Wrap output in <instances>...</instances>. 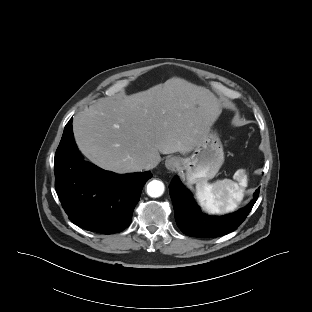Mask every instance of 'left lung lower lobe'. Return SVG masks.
<instances>
[{
    "label": "left lung lower lobe",
    "mask_w": 312,
    "mask_h": 312,
    "mask_svg": "<svg viewBox=\"0 0 312 312\" xmlns=\"http://www.w3.org/2000/svg\"><path fill=\"white\" fill-rule=\"evenodd\" d=\"M169 189L179 229L186 235L203 238L219 237L237 229L250 213L260 190L258 188L255 191L254 198L245 208L218 217L201 212L192 194L180 183L177 176L172 180Z\"/></svg>",
    "instance_id": "left-lung-lower-lobe-1"
}]
</instances>
